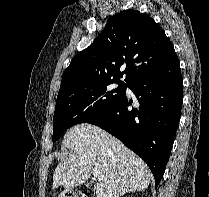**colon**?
<instances>
[{"label":"colon","mask_w":209,"mask_h":197,"mask_svg":"<svg viewBox=\"0 0 209 197\" xmlns=\"http://www.w3.org/2000/svg\"><path fill=\"white\" fill-rule=\"evenodd\" d=\"M65 197H86V196L78 192H71L67 194Z\"/></svg>","instance_id":"obj_1"}]
</instances>
